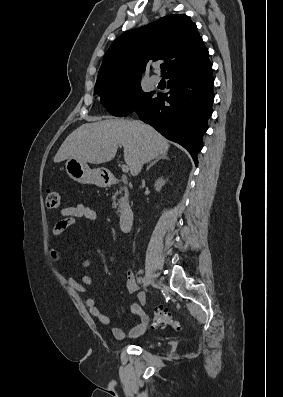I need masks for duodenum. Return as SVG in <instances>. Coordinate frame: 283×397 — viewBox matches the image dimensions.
<instances>
[{"mask_svg": "<svg viewBox=\"0 0 283 397\" xmlns=\"http://www.w3.org/2000/svg\"><path fill=\"white\" fill-rule=\"evenodd\" d=\"M110 184L116 183L117 180L114 177H110L107 180ZM134 212L130 206L122 207L119 214V227L123 232H129L133 226Z\"/></svg>", "mask_w": 283, "mask_h": 397, "instance_id": "duodenum-1", "label": "duodenum"}]
</instances>
